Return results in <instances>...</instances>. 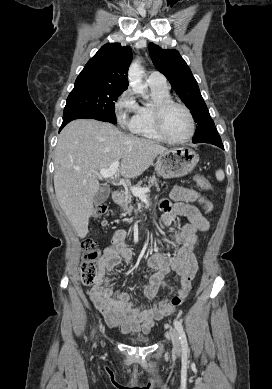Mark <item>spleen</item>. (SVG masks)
Segmentation results:
<instances>
[{"mask_svg": "<svg viewBox=\"0 0 272 389\" xmlns=\"http://www.w3.org/2000/svg\"><path fill=\"white\" fill-rule=\"evenodd\" d=\"M216 178L218 181H223L224 178H225V174H224V171L219 169L216 171Z\"/></svg>", "mask_w": 272, "mask_h": 389, "instance_id": "spleen-1", "label": "spleen"}]
</instances>
